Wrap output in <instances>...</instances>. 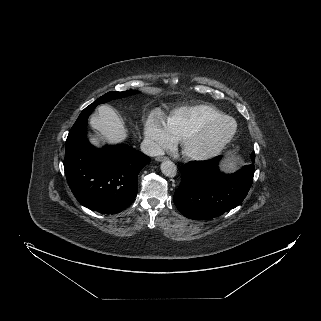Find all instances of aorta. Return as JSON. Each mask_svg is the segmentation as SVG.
<instances>
[{
    "instance_id": "762f6f07",
    "label": "aorta",
    "mask_w": 321,
    "mask_h": 321,
    "mask_svg": "<svg viewBox=\"0 0 321 321\" xmlns=\"http://www.w3.org/2000/svg\"><path fill=\"white\" fill-rule=\"evenodd\" d=\"M160 168L162 173L167 177H174L177 173L176 165L170 160L163 161Z\"/></svg>"
}]
</instances>
